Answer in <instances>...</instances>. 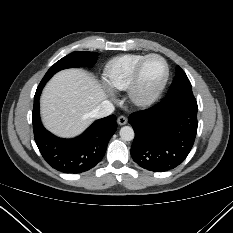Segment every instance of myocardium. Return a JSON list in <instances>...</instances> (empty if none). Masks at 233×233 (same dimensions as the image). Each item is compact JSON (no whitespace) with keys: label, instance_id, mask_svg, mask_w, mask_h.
Listing matches in <instances>:
<instances>
[{"label":"myocardium","instance_id":"obj_1","mask_svg":"<svg viewBox=\"0 0 233 233\" xmlns=\"http://www.w3.org/2000/svg\"><path fill=\"white\" fill-rule=\"evenodd\" d=\"M151 58L160 59L165 66L164 77L161 82L153 89L149 91H145L141 86V75L143 68L147 61ZM170 69L167 61L159 54H149L146 55L136 67L130 85L128 87V97L129 100L136 106H148L156 101V99L160 96V94L165 89L167 82L169 80Z\"/></svg>","mask_w":233,"mask_h":233}]
</instances>
